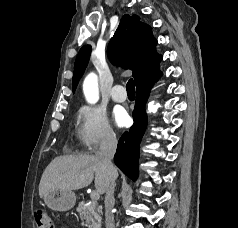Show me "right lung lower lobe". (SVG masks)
Listing matches in <instances>:
<instances>
[{
	"label": "right lung lower lobe",
	"mask_w": 238,
	"mask_h": 228,
	"mask_svg": "<svg viewBox=\"0 0 238 228\" xmlns=\"http://www.w3.org/2000/svg\"><path fill=\"white\" fill-rule=\"evenodd\" d=\"M160 75L161 73L157 71L154 75L136 85V104L133 111L134 124L129 132H125L121 136L114 156L115 164L133 180L138 175L139 144L147 124L145 104L152 84Z\"/></svg>",
	"instance_id": "98d812e1"
}]
</instances>
